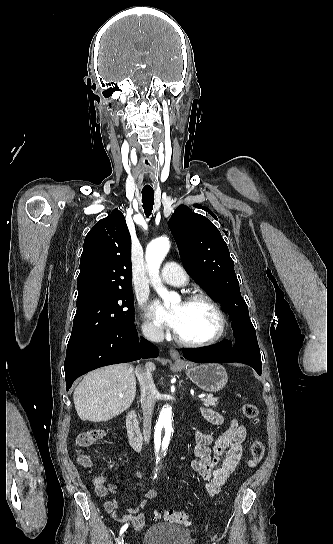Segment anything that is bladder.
I'll return each mask as SVG.
<instances>
[{
    "label": "bladder",
    "mask_w": 333,
    "mask_h": 544,
    "mask_svg": "<svg viewBox=\"0 0 333 544\" xmlns=\"http://www.w3.org/2000/svg\"><path fill=\"white\" fill-rule=\"evenodd\" d=\"M142 544H193L188 529L170 523L149 526L141 538Z\"/></svg>",
    "instance_id": "obj_1"
}]
</instances>
